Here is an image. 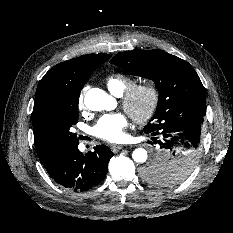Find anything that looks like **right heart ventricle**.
<instances>
[{
	"label": "right heart ventricle",
	"instance_id": "right-heart-ventricle-1",
	"mask_svg": "<svg viewBox=\"0 0 233 233\" xmlns=\"http://www.w3.org/2000/svg\"><path fill=\"white\" fill-rule=\"evenodd\" d=\"M133 83L132 79L122 73H111L105 78V84L109 91L117 96Z\"/></svg>",
	"mask_w": 233,
	"mask_h": 233
}]
</instances>
